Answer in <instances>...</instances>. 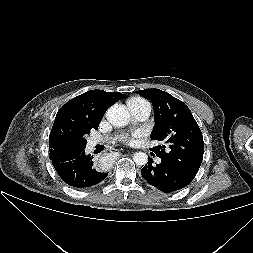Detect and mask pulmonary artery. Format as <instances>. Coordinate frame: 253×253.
<instances>
[{"label": "pulmonary artery", "mask_w": 253, "mask_h": 253, "mask_svg": "<svg viewBox=\"0 0 253 253\" xmlns=\"http://www.w3.org/2000/svg\"><path fill=\"white\" fill-rule=\"evenodd\" d=\"M128 109L130 110L132 116L138 121L146 120L151 112V105L148 102L145 103H127ZM99 143L98 140L93 139L89 141L88 147L92 149ZM160 162V160H157Z\"/></svg>", "instance_id": "e3ab8cb5"}]
</instances>
